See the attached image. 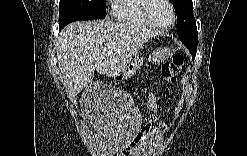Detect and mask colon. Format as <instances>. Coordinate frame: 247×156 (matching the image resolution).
Wrapping results in <instances>:
<instances>
[{"label":"colon","mask_w":247,"mask_h":156,"mask_svg":"<svg viewBox=\"0 0 247 156\" xmlns=\"http://www.w3.org/2000/svg\"><path fill=\"white\" fill-rule=\"evenodd\" d=\"M184 66V58L182 55H175L172 59L165 61L161 66V74L164 80L170 84L174 85L177 82L178 76L181 73ZM151 126H158V121H151ZM151 127L147 128L150 131Z\"/></svg>","instance_id":"colon-1"}]
</instances>
